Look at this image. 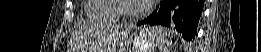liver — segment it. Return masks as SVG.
I'll return each mask as SVG.
<instances>
[{
	"instance_id": "liver-1",
	"label": "liver",
	"mask_w": 261,
	"mask_h": 52,
	"mask_svg": "<svg viewBox=\"0 0 261 52\" xmlns=\"http://www.w3.org/2000/svg\"><path fill=\"white\" fill-rule=\"evenodd\" d=\"M129 28H122L119 26L106 25L101 32L102 46L104 50H112L118 46H122V41L129 32ZM108 47V49H106ZM102 50V49H101Z\"/></svg>"
}]
</instances>
